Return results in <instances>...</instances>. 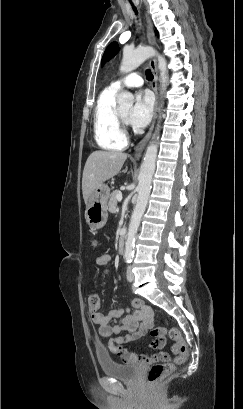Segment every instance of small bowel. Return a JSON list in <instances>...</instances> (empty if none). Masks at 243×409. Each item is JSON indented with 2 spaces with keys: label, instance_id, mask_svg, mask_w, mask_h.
I'll list each match as a JSON object with an SVG mask.
<instances>
[{
  "label": "small bowel",
  "instance_id": "obj_1",
  "mask_svg": "<svg viewBox=\"0 0 243 409\" xmlns=\"http://www.w3.org/2000/svg\"><path fill=\"white\" fill-rule=\"evenodd\" d=\"M110 262L111 256L108 254H103L97 258L99 265L107 266ZM107 271L108 269H105V272ZM90 312L92 322L98 327L99 334L104 338H110L108 349L128 364L169 361L176 352V350H172V352L159 351L150 355L136 353L126 348L128 344L139 340L150 332L153 322L152 308L141 299H134L129 307L110 309L107 313H100L91 309ZM165 344V340L154 339L149 343V347L160 350Z\"/></svg>",
  "mask_w": 243,
  "mask_h": 409
}]
</instances>
